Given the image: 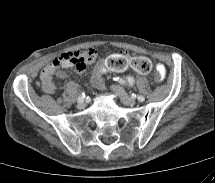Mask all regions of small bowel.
Masks as SVG:
<instances>
[{"label": "small bowel", "mask_w": 215, "mask_h": 183, "mask_svg": "<svg viewBox=\"0 0 215 183\" xmlns=\"http://www.w3.org/2000/svg\"><path fill=\"white\" fill-rule=\"evenodd\" d=\"M85 53L89 56L88 64L95 62L97 58V51L93 48L87 49ZM58 58L54 59L49 65H47L40 74V86L46 94H54L56 86L53 82V76L59 78H65V73L59 69L56 65ZM86 69L82 67L78 69V72H83ZM128 69L133 75H146L152 69V60L146 54H129L122 50L120 52H109L104 55L103 59L99 60L96 64L95 75L93 78V84L103 89L104 85L100 74L109 75L114 72H122Z\"/></svg>", "instance_id": "small-bowel-1"}]
</instances>
